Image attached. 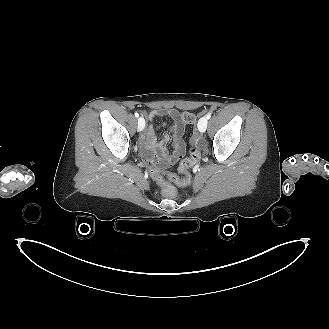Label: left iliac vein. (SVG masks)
Wrapping results in <instances>:
<instances>
[{"label":"left iliac vein","instance_id":"obj_1","mask_svg":"<svg viewBox=\"0 0 329 329\" xmlns=\"http://www.w3.org/2000/svg\"><path fill=\"white\" fill-rule=\"evenodd\" d=\"M208 119L206 117H202L198 122V130L203 133L207 129Z\"/></svg>","mask_w":329,"mask_h":329}]
</instances>
